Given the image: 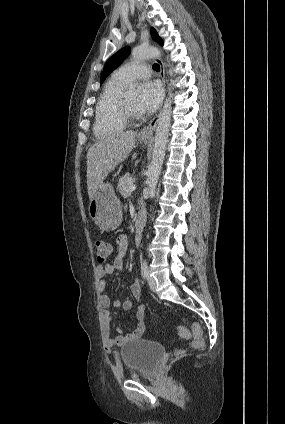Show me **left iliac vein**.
I'll list each match as a JSON object with an SVG mask.
<instances>
[{
    "instance_id": "left-iliac-vein-1",
    "label": "left iliac vein",
    "mask_w": 285,
    "mask_h": 424,
    "mask_svg": "<svg viewBox=\"0 0 285 424\" xmlns=\"http://www.w3.org/2000/svg\"><path fill=\"white\" fill-rule=\"evenodd\" d=\"M148 285L152 291H156V281L153 277L148 276Z\"/></svg>"
}]
</instances>
